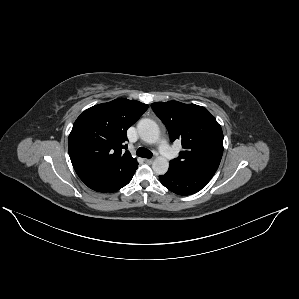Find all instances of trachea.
Here are the masks:
<instances>
[{"mask_svg":"<svg viewBox=\"0 0 299 299\" xmlns=\"http://www.w3.org/2000/svg\"><path fill=\"white\" fill-rule=\"evenodd\" d=\"M137 156L139 157H144V158H151L152 157V152L149 151L148 149L144 148V147H140L137 150Z\"/></svg>","mask_w":299,"mask_h":299,"instance_id":"3493384b","label":"trachea"}]
</instances>
